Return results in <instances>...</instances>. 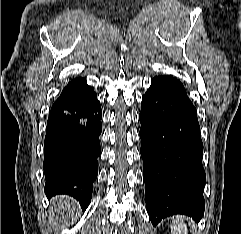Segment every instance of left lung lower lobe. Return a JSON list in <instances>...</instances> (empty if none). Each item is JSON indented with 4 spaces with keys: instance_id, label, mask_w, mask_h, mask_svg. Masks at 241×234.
I'll list each match as a JSON object with an SVG mask.
<instances>
[{
    "instance_id": "1",
    "label": "left lung lower lobe",
    "mask_w": 241,
    "mask_h": 234,
    "mask_svg": "<svg viewBox=\"0 0 241 234\" xmlns=\"http://www.w3.org/2000/svg\"><path fill=\"white\" fill-rule=\"evenodd\" d=\"M141 157L152 224L181 213L199 221L205 209L203 144L196 109L176 78L156 76L142 97Z\"/></svg>"
}]
</instances>
